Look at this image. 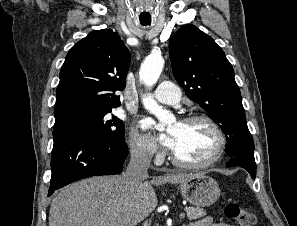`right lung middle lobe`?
Returning <instances> with one entry per match:
<instances>
[{
    "instance_id": "dd1d6c3e",
    "label": "right lung middle lobe",
    "mask_w": 297,
    "mask_h": 226,
    "mask_svg": "<svg viewBox=\"0 0 297 226\" xmlns=\"http://www.w3.org/2000/svg\"><path fill=\"white\" fill-rule=\"evenodd\" d=\"M111 110H91L75 113L56 120L54 130L76 128L114 142L124 141V124L116 116H110Z\"/></svg>"
}]
</instances>
